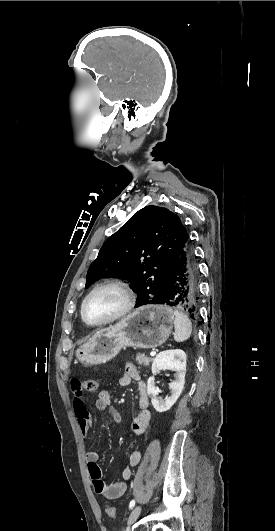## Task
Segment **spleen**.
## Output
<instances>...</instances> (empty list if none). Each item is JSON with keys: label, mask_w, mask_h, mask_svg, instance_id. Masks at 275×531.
Wrapping results in <instances>:
<instances>
[{"label": "spleen", "mask_w": 275, "mask_h": 531, "mask_svg": "<svg viewBox=\"0 0 275 531\" xmlns=\"http://www.w3.org/2000/svg\"><path fill=\"white\" fill-rule=\"evenodd\" d=\"M172 313L174 315L175 333L173 335L175 341L177 343L187 341L192 333V323L188 319V315H185L182 311H172Z\"/></svg>", "instance_id": "obj_1"}]
</instances>
